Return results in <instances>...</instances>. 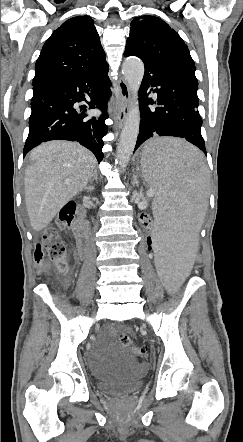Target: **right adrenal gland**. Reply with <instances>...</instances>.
<instances>
[{
	"mask_svg": "<svg viewBox=\"0 0 243 442\" xmlns=\"http://www.w3.org/2000/svg\"><path fill=\"white\" fill-rule=\"evenodd\" d=\"M94 180H96V182H97V180H98V175H97V171H96V169H95V171H94V174H93V176H92L90 182L92 183Z\"/></svg>",
	"mask_w": 243,
	"mask_h": 442,
	"instance_id": "2a0ac1e0",
	"label": "right adrenal gland"
}]
</instances>
